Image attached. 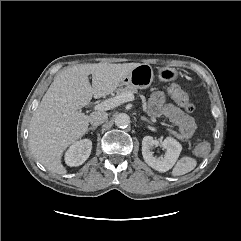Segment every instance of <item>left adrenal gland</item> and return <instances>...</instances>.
<instances>
[{
	"mask_svg": "<svg viewBox=\"0 0 241 241\" xmlns=\"http://www.w3.org/2000/svg\"><path fill=\"white\" fill-rule=\"evenodd\" d=\"M140 119L143 121H147L148 123H151V121L149 119H147L146 117H141Z\"/></svg>",
	"mask_w": 241,
	"mask_h": 241,
	"instance_id": "obj_1",
	"label": "left adrenal gland"
}]
</instances>
